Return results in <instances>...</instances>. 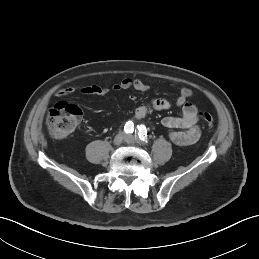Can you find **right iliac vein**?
I'll return each mask as SVG.
<instances>
[{"label":"right iliac vein","instance_id":"1","mask_svg":"<svg viewBox=\"0 0 259 259\" xmlns=\"http://www.w3.org/2000/svg\"><path fill=\"white\" fill-rule=\"evenodd\" d=\"M125 139V134L124 133H119L114 137L113 143L116 146H119L123 140Z\"/></svg>","mask_w":259,"mask_h":259}]
</instances>
